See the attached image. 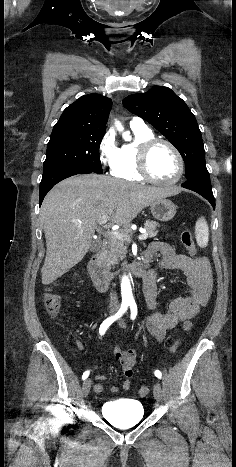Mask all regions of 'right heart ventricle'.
I'll list each match as a JSON object with an SVG mask.
<instances>
[{
	"mask_svg": "<svg viewBox=\"0 0 236 467\" xmlns=\"http://www.w3.org/2000/svg\"><path fill=\"white\" fill-rule=\"evenodd\" d=\"M134 140L123 144L119 148L118 160L111 170L114 177L128 181H142L144 178L137 170V150L141 142L154 137L153 132L148 128L131 127Z\"/></svg>",
	"mask_w": 236,
	"mask_h": 467,
	"instance_id": "right-heart-ventricle-1",
	"label": "right heart ventricle"
}]
</instances>
